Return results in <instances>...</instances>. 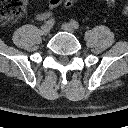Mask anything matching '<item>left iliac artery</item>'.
Returning a JSON list of instances; mask_svg holds the SVG:
<instances>
[{
	"label": "left iliac artery",
	"mask_w": 128,
	"mask_h": 128,
	"mask_svg": "<svg viewBox=\"0 0 128 128\" xmlns=\"http://www.w3.org/2000/svg\"><path fill=\"white\" fill-rule=\"evenodd\" d=\"M70 24H71V26H72L74 29H79V24H78L77 21L71 20V21H70Z\"/></svg>",
	"instance_id": "1"
}]
</instances>
